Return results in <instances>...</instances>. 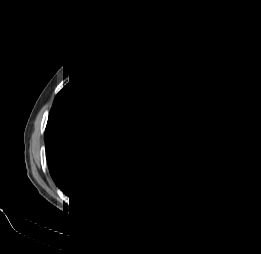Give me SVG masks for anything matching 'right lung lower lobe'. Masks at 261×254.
<instances>
[{
    "mask_svg": "<svg viewBox=\"0 0 261 254\" xmlns=\"http://www.w3.org/2000/svg\"><path fill=\"white\" fill-rule=\"evenodd\" d=\"M105 134L69 118L51 117L45 130L46 156L55 184L79 201L98 198L107 186L112 164L95 165L93 152Z\"/></svg>",
    "mask_w": 261,
    "mask_h": 254,
    "instance_id": "98d812e1",
    "label": "right lung lower lobe"
}]
</instances>
